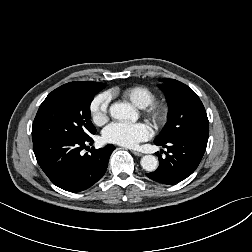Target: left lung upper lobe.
I'll list each match as a JSON object with an SVG mask.
<instances>
[{
  "mask_svg": "<svg viewBox=\"0 0 252 252\" xmlns=\"http://www.w3.org/2000/svg\"><path fill=\"white\" fill-rule=\"evenodd\" d=\"M160 85L168 103V121L155 139L156 142H168L186 134L209 135V122L205 108L198 95L187 85L174 80L163 79Z\"/></svg>",
  "mask_w": 252,
  "mask_h": 252,
  "instance_id": "left-lung-upper-lobe-1",
  "label": "left lung upper lobe"
}]
</instances>
